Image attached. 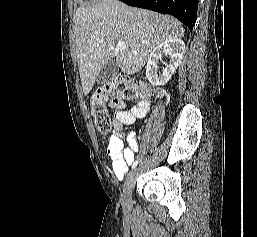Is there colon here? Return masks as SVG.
I'll return each instance as SVG.
<instances>
[{"instance_id": "obj_1", "label": "colon", "mask_w": 257, "mask_h": 237, "mask_svg": "<svg viewBox=\"0 0 257 237\" xmlns=\"http://www.w3.org/2000/svg\"><path fill=\"white\" fill-rule=\"evenodd\" d=\"M151 96L152 92L143 82L127 78H115L98 86L90 99V111L100 135L106 137L111 130L114 105Z\"/></svg>"}]
</instances>
